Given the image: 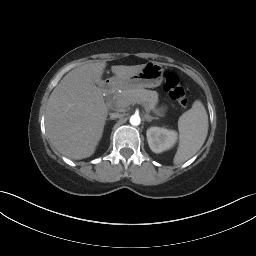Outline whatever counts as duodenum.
Returning a JSON list of instances; mask_svg holds the SVG:
<instances>
[{"label": "duodenum", "instance_id": "1", "mask_svg": "<svg viewBox=\"0 0 256 256\" xmlns=\"http://www.w3.org/2000/svg\"><path fill=\"white\" fill-rule=\"evenodd\" d=\"M115 82L112 81V80H108V81H105L101 87H100V90L103 92V93H109L111 91H113L115 89Z\"/></svg>", "mask_w": 256, "mask_h": 256}]
</instances>
